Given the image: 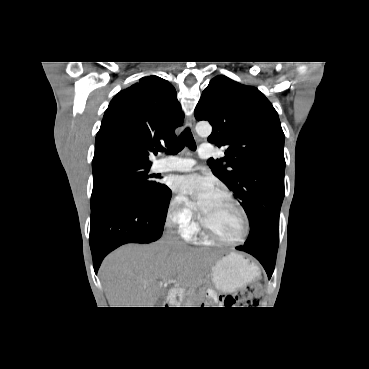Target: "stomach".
Instances as JSON below:
<instances>
[{"label": "stomach", "mask_w": 369, "mask_h": 369, "mask_svg": "<svg viewBox=\"0 0 369 369\" xmlns=\"http://www.w3.org/2000/svg\"><path fill=\"white\" fill-rule=\"evenodd\" d=\"M257 275V267L241 255L230 253L212 267V281L223 293H232L251 282Z\"/></svg>", "instance_id": "0dacf381"}]
</instances>
